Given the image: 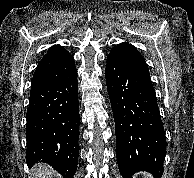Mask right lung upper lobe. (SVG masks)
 I'll use <instances>...</instances> for the list:
<instances>
[{"label": "right lung upper lobe", "instance_id": "obj_1", "mask_svg": "<svg viewBox=\"0 0 194 178\" xmlns=\"http://www.w3.org/2000/svg\"><path fill=\"white\" fill-rule=\"evenodd\" d=\"M76 70L73 56L62 46L51 47L39 62L31 87L53 83L67 78Z\"/></svg>", "mask_w": 194, "mask_h": 178}]
</instances>
